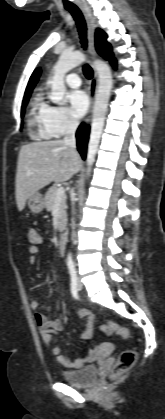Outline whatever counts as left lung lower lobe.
<instances>
[{
    "label": "left lung lower lobe",
    "instance_id": "obj_1",
    "mask_svg": "<svg viewBox=\"0 0 165 419\" xmlns=\"http://www.w3.org/2000/svg\"><path fill=\"white\" fill-rule=\"evenodd\" d=\"M110 62L113 65V67H116V60L114 58Z\"/></svg>",
    "mask_w": 165,
    "mask_h": 419
}]
</instances>
